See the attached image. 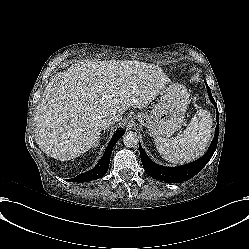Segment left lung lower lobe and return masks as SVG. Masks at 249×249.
I'll return each instance as SVG.
<instances>
[{"instance_id": "0a47b994", "label": "left lung lower lobe", "mask_w": 249, "mask_h": 249, "mask_svg": "<svg viewBox=\"0 0 249 249\" xmlns=\"http://www.w3.org/2000/svg\"><path fill=\"white\" fill-rule=\"evenodd\" d=\"M206 87L208 90L210 101L214 104V106L217 109V104L215 100L213 99L210 88L208 87L207 84H206ZM217 124H219L218 114H217ZM218 135H219V126L217 125L216 130H215V136L211 143V146L203 157H201L200 159L190 164H187L184 166L173 167V168L161 166V165H158L152 162L150 158L147 156V154L145 153V151L143 150V148L141 147V145L139 144L140 156H141L143 167L145 171L152 178H155L160 181H164L166 183H180L182 181H187L193 176H195L197 173H199L202 170V168L211 159V157L213 156L216 150Z\"/></svg>"}]
</instances>
